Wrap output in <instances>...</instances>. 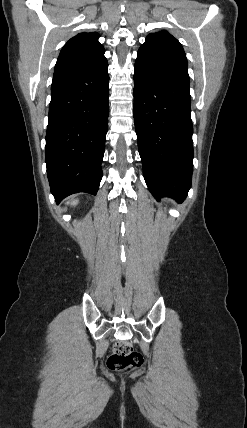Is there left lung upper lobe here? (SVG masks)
<instances>
[{"label":"left lung upper lobe","mask_w":247,"mask_h":428,"mask_svg":"<svg viewBox=\"0 0 247 428\" xmlns=\"http://www.w3.org/2000/svg\"><path fill=\"white\" fill-rule=\"evenodd\" d=\"M140 48L158 53L184 65L188 64L182 45L166 31L149 34Z\"/></svg>","instance_id":"obj_1"}]
</instances>
